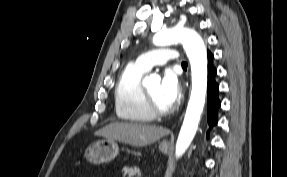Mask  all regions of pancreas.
Masks as SVG:
<instances>
[{"mask_svg":"<svg viewBox=\"0 0 287 177\" xmlns=\"http://www.w3.org/2000/svg\"><path fill=\"white\" fill-rule=\"evenodd\" d=\"M141 175V171L139 168L134 167V168H129V167H125L123 168V176H128V177H140Z\"/></svg>","mask_w":287,"mask_h":177,"instance_id":"obj_1","label":"pancreas"}]
</instances>
